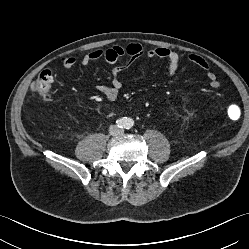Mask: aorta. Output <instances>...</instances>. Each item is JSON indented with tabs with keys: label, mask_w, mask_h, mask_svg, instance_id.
<instances>
[{
	"label": "aorta",
	"mask_w": 249,
	"mask_h": 249,
	"mask_svg": "<svg viewBox=\"0 0 249 249\" xmlns=\"http://www.w3.org/2000/svg\"><path fill=\"white\" fill-rule=\"evenodd\" d=\"M134 124V121L131 118H126L124 121V126L129 128L132 127Z\"/></svg>",
	"instance_id": "aorta-1"
}]
</instances>
